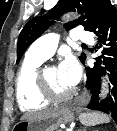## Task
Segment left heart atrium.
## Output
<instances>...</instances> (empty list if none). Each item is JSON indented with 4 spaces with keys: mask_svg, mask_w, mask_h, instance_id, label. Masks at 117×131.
<instances>
[{
    "mask_svg": "<svg viewBox=\"0 0 117 131\" xmlns=\"http://www.w3.org/2000/svg\"><path fill=\"white\" fill-rule=\"evenodd\" d=\"M61 80L70 87H74L81 78V68L72 56H67L58 67Z\"/></svg>",
    "mask_w": 117,
    "mask_h": 131,
    "instance_id": "1",
    "label": "left heart atrium"
}]
</instances>
